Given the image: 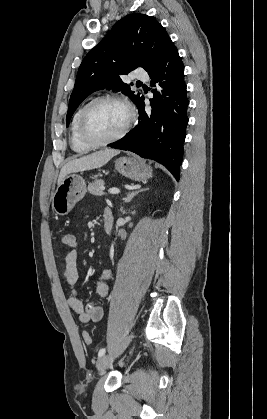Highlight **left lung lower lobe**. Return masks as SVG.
<instances>
[{
	"mask_svg": "<svg viewBox=\"0 0 267 419\" xmlns=\"http://www.w3.org/2000/svg\"><path fill=\"white\" fill-rule=\"evenodd\" d=\"M148 74L153 87L151 110L145 109L142 96L136 103L138 124L110 147L153 159L163 164L179 180L189 100L184 82V65L171 40Z\"/></svg>",
	"mask_w": 267,
	"mask_h": 419,
	"instance_id": "left-lung-lower-lobe-1",
	"label": "left lung lower lobe"
}]
</instances>
